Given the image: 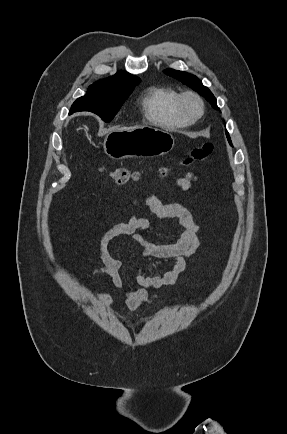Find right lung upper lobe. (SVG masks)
<instances>
[{"instance_id":"right-lung-upper-lobe-1","label":"right lung upper lobe","mask_w":287,"mask_h":434,"mask_svg":"<svg viewBox=\"0 0 287 434\" xmlns=\"http://www.w3.org/2000/svg\"><path fill=\"white\" fill-rule=\"evenodd\" d=\"M138 81H140L138 77L133 76L125 71H119L115 75L109 78L100 80V82L115 83V84H125V83H132Z\"/></svg>"}]
</instances>
